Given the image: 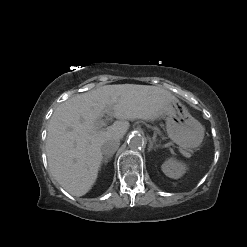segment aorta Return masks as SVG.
<instances>
[{
    "label": "aorta",
    "mask_w": 247,
    "mask_h": 247,
    "mask_svg": "<svg viewBox=\"0 0 247 247\" xmlns=\"http://www.w3.org/2000/svg\"><path fill=\"white\" fill-rule=\"evenodd\" d=\"M145 144L144 137L138 133L132 134L128 139V146L132 150L141 149Z\"/></svg>",
    "instance_id": "1"
}]
</instances>
